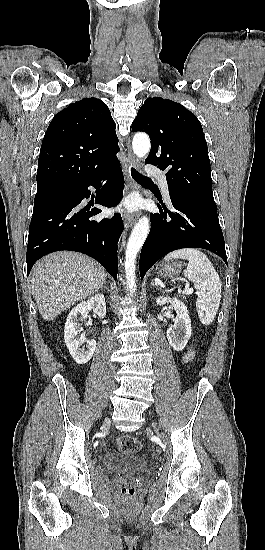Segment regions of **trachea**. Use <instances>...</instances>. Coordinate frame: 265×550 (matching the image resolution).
<instances>
[{
    "label": "trachea",
    "mask_w": 265,
    "mask_h": 550,
    "mask_svg": "<svg viewBox=\"0 0 265 550\" xmlns=\"http://www.w3.org/2000/svg\"><path fill=\"white\" fill-rule=\"evenodd\" d=\"M132 177L139 182H152L149 178L138 173L133 167L131 168Z\"/></svg>",
    "instance_id": "obj_1"
}]
</instances>
